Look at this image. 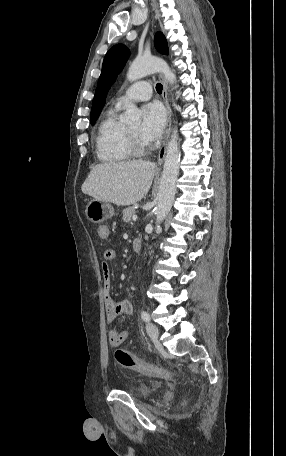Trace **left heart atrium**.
I'll use <instances>...</instances> for the list:
<instances>
[{
    "label": "left heart atrium",
    "mask_w": 286,
    "mask_h": 456,
    "mask_svg": "<svg viewBox=\"0 0 286 456\" xmlns=\"http://www.w3.org/2000/svg\"><path fill=\"white\" fill-rule=\"evenodd\" d=\"M166 113L162 105L157 102L148 103L143 107V123L140 128V137L150 143L157 140L163 131Z\"/></svg>",
    "instance_id": "39dd6f15"
}]
</instances>
